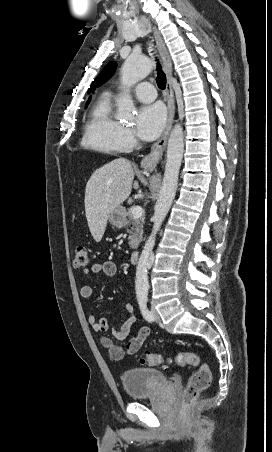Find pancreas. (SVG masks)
<instances>
[{
  "label": "pancreas",
  "mask_w": 272,
  "mask_h": 452,
  "mask_svg": "<svg viewBox=\"0 0 272 452\" xmlns=\"http://www.w3.org/2000/svg\"><path fill=\"white\" fill-rule=\"evenodd\" d=\"M132 208L133 207H130L126 212L124 227L132 225V228L128 230L129 246L131 249H137L143 236L144 217L134 218L132 215Z\"/></svg>",
  "instance_id": "obj_1"
}]
</instances>
